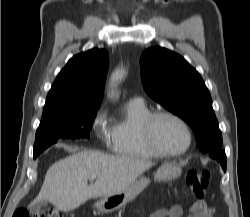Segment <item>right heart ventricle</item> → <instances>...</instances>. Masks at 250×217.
<instances>
[{
  "mask_svg": "<svg viewBox=\"0 0 250 217\" xmlns=\"http://www.w3.org/2000/svg\"><path fill=\"white\" fill-rule=\"evenodd\" d=\"M151 110L143 102L129 101L121 117L110 126L112 151L120 156L155 159L160 157L146 143L141 125Z\"/></svg>",
  "mask_w": 250,
  "mask_h": 217,
  "instance_id": "1",
  "label": "right heart ventricle"
}]
</instances>
